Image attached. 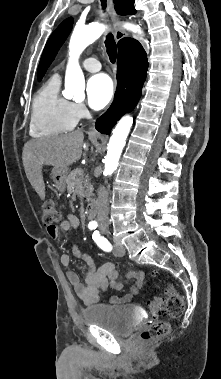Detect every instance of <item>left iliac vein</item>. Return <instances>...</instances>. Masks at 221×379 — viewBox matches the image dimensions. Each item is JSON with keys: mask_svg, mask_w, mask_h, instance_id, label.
Returning a JSON list of instances; mask_svg holds the SVG:
<instances>
[{"mask_svg": "<svg viewBox=\"0 0 221 379\" xmlns=\"http://www.w3.org/2000/svg\"><path fill=\"white\" fill-rule=\"evenodd\" d=\"M113 253L116 256H123L125 254V248L120 242H115L113 246Z\"/></svg>", "mask_w": 221, "mask_h": 379, "instance_id": "obj_1", "label": "left iliac vein"}]
</instances>
